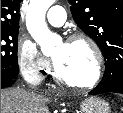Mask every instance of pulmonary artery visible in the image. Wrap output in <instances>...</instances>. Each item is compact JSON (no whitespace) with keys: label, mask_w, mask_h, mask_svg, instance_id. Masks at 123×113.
Wrapping results in <instances>:
<instances>
[{"label":"pulmonary artery","mask_w":123,"mask_h":113,"mask_svg":"<svg viewBox=\"0 0 123 113\" xmlns=\"http://www.w3.org/2000/svg\"><path fill=\"white\" fill-rule=\"evenodd\" d=\"M47 21L53 26H61L66 21V11L61 6H52L47 12Z\"/></svg>","instance_id":"e3ab8cb5"}]
</instances>
